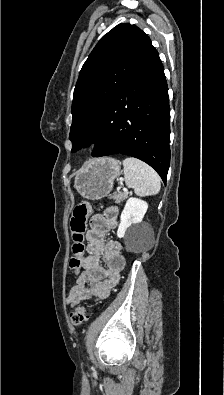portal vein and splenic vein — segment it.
I'll return each mask as SVG.
<instances>
[{"mask_svg":"<svg viewBox=\"0 0 224 395\" xmlns=\"http://www.w3.org/2000/svg\"><path fill=\"white\" fill-rule=\"evenodd\" d=\"M123 190H125V191H126L127 189H126V188H123Z\"/></svg>","mask_w":224,"mask_h":395,"instance_id":"1","label":"portal vein and splenic vein"}]
</instances>
